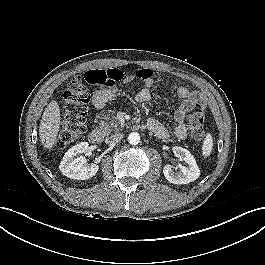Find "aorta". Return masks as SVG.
I'll return each mask as SVG.
<instances>
[{
  "label": "aorta",
  "instance_id": "762f6f07",
  "mask_svg": "<svg viewBox=\"0 0 265 265\" xmlns=\"http://www.w3.org/2000/svg\"><path fill=\"white\" fill-rule=\"evenodd\" d=\"M128 141L131 145H137L140 142V135L137 132H132L128 136Z\"/></svg>",
  "mask_w": 265,
  "mask_h": 265
}]
</instances>
